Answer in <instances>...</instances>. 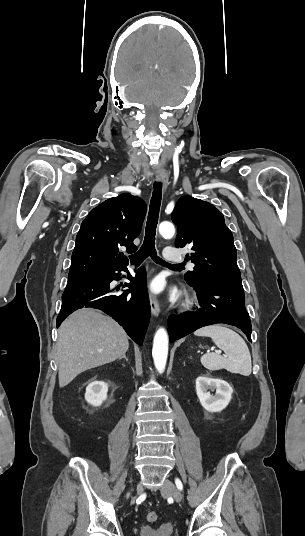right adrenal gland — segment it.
<instances>
[{"mask_svg":"<svg viewBox=\"0 0 305 536\" xmlns=\"http://www.w3.org/2000/svg\"><path fill=\"white\" fill-rule=\"evenodd\" d=\"M122 358H124V360H126V362H128V358H126V356H122ZM122 358H119V360H122Z\"/></svg>","mask_w":305,"mask_h":536,"instance_id":"right-adrenal-gland-1","label":"right adrenal gland"}]
</instances>
